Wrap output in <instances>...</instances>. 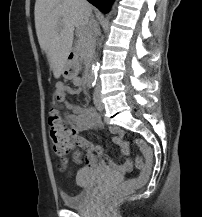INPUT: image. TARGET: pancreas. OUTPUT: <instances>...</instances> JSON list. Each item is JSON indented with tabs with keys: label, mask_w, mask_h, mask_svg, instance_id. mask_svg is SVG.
I'll use <instances>...</instances> for the list:
<instances>
[{
	"label": "pancreas",
	"mask_w": 202,
	"mask_h": 217,
	"mask_svg": "<svg viewBox=\"0 0 202 217\" xmlns=\"http://www.w3.org/2000/svg\"><path fill=\"white\" fill-rule=\"evenodd\" d=\"M93 42V35L87 28H83L78 32L76 50L79 53L80 59L85 63L88 62L92 56Z\"/></svg>",
	"instance_id": "1"
}]
</instances>
